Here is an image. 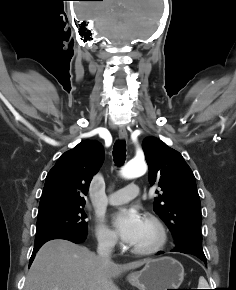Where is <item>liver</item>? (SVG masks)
<instances>
[{"label":"liver","mask_w":236,"mask_h":290,"mask_svg":"<svg viewBox=\"0 0 236 290\" xmlns=\"http://www.w3.org/2000/svg\"><path fill=\"white\" fill-rule=\"evenodd\" d=\"M147 262L116 264L103 261L84 246L51 240L36 254L24 290H119L113 278Z\"/></svg>","instance_id":"obj_1"}]
</instances>
